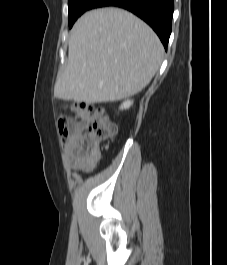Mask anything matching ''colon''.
<instances>
[{"mask_svg":"<svg viewBox=\"0 0 227 265\" xmlns=\"http://www.w3.org/2000/svg\"><path fill=\"white\" fill-rule=\"evenodd\" d=\"M79 121L86 126V134L81 139L82 145L93 149L100 141L112 138L116 133V125L109 120L105 110L91 103H81L74 108ZM60 134L67 138L71 132L72 123L68 118H61L58 123Z\"/></svg>","mask_w":227,"mask_h":265,"instance_id":"colon-1","label":"colon"}]
</instances>
